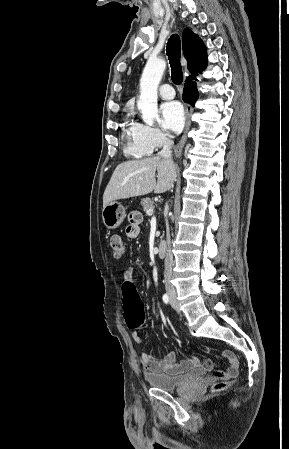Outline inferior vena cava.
Wrapping results in <instances>:
<instances>
[{
  "label": "inferior vena cava",
  "mask_w": 289,
  "mask_h": 449,
  "mask_svg": "<svg viewBox=\"0 0 289 449\" xmlns=\"http://www.w3.org/2000/svg\"><path fill=\"white\" fill-rule=\"evenodd\" d=\"M173 145V141L166 138L164 140L163 143V148L162 150L158 153L159 157H162L164 159H167L169 161L171 160L172 157V148ZM166 227H167V244H168V249H167V253H166V257H165V270H164V283H165V288L167 292H175V288L173 286V284L171 283V276H172V267H173V255L170 249V232H169V225L168 222H166Z\"/></svg>",
  "instance_id": "602c4592"
}]
</instances>
